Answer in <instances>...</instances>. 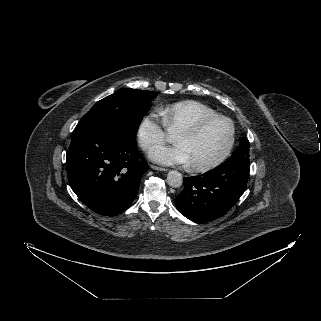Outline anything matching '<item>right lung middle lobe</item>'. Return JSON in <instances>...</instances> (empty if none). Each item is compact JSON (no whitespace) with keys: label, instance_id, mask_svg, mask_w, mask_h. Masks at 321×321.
Listing matches in <instances>:
<instances>
[{"label":"right lung middle lobe","instance_id":"obj_1","mask_svg":"<svg viewBox=\"0 0 321 321\" xmlns=\"http://www.w3.org/2000/svg\"><path fill=\"white\" fill-rule=\"evenodd\" d=\"M157 96L152 91L124 88L98 101L75 127L73 134L121 130L135 137L142 116Z\"/></svg>","mask_w":321,"mask_h":321}]
</instances>
